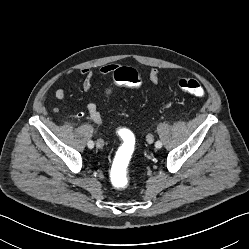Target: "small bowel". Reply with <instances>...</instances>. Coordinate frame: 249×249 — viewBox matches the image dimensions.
<instances>
[{"mask_svg":"<svg viewBox=\"0 0 249 249\" xmlns=\"http://www.w3.org/2000/svg\"><path fill=\"white\" fill-rule=\"evenodd\" d=\"M119 65L115 63H110L102 66L99 70V73L103 76L107 75H113L116 69H118ZM73 71L69 72V74H72ZM78 73L82 77V88L86 93L91 92L92 90V77H93V71L90 68H81L78 70ZM160 72L156 68H152L149 71V80L153 85H157L159 82ZM107 94V90L104 92ZM55 97L56 99L62 101L66 97V92L63 88H58L55 91ZM54 111H57L55 109ZM86 112L88 118L97 126H102L105 121L103 116L101 115L97 104L93 100H89L86 105Z\"/></svg>","mask_w":249,"mask_h":249,"instance_id":"small-bowel-1","label":"small bowel"}]
</instances>
